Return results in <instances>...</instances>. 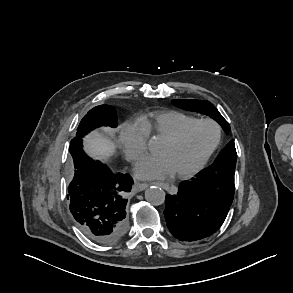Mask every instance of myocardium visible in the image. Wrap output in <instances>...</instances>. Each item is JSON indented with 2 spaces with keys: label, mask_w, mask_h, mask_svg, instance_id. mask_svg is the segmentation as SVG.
<instances>
[{
  "label": "myocardium",
  "mask_w": 293,
  "mask_h": 293,
  "mask_svg": "<svg viewBox=\"0 0 293 293\" xmlns=\"http://www.w3.org/2000/svg\"><path fill=\"white\" fill-rule=\"evenodd\" d=\"M202 123L212 125L215 128V131H216L215 139L212 145L203 155V157L190 170L186 172L176 173V176L180 179H189L203 169V167L209 161V159L214 154V152L216 151V149L218 148L220 144L221 137H222V129L216 121L212 119H208V118H200L185 124L174 134L164 138V141L167 143H175L179 141L191 127L197 124H202Z\"/></svg>",
  "instance_id": "1"
}]
</instances>
